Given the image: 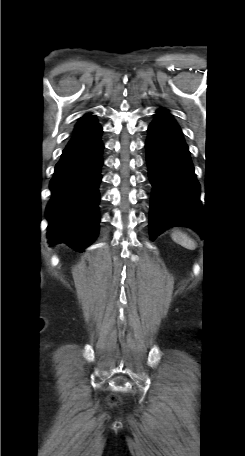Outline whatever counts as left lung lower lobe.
<instances>
[{"label":"left lung lower lobe","mask_w":245,"mask_h":456,"mask_svg":"<svg viewBox=\"0 0 245 456\" xmlns=\"http://www.w3.org/2000/svg\"><path fill=\"white\" fill-rule=\"evenodd\" d=\"M148 176L152 184L150 237L169 227L198 230L200 185L182 131L167 110H159L148 127L145 143Z\"/></svg>","instance_id":"0a47b994"}]
</instances>
